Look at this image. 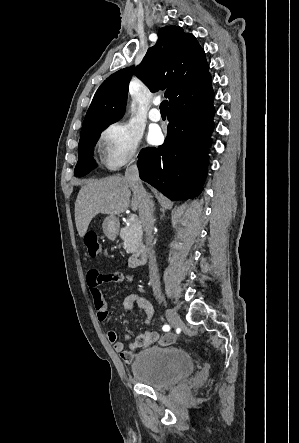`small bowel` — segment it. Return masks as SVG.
I'll list each match as a JSON object with an SVG mask.
<instances>
[{
    "label": "small bowel",
    "mask_w": 299,
    "mask_h": 443,
    "mask_svg": "<svg viewBox=\"0 0 299 443\" xmlns=\"http://www.w3.org/2000/svg\"><path fill=\"white\" fill-rule=\"evenodd\" d=\"M87 284L92 298L93 306L96 311V317L99 321H104L108 317L107 303L100 290L102 284H118L124 281L134 282L136 277L132 274L123 275L120 273L101 274L96 269H91L87 273ZM137 305L145 313V330L136 337L132 344V349L125 350V340L120 339L118 333L114 330L107 332V339L113 345L114 350L119 353L121 359L130 363L135 357L138 349L158 343L161 346L172 345L176 341V336L172 333L162 335L150 330V324L153 318L154 309L152 304L143 296L135 293L128 294L123 301V306L127 311H132ZM129 335L125 336L127 339Z\"/></svg>",
    "instance_id": "small-bowel-1"
}]
</instances>
